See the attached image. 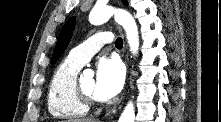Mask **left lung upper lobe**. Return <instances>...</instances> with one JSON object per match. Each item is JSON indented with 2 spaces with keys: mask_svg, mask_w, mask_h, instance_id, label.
Segmentation results:
<instances>
[{
  "mask_svg": "<svg viewBox=\"0 0 221 122\" xmlns=\"http://www.w3.org/2000/svg\"><path fill=\"white\" fill-rule=\"evenodd\" d=\"M122 2L127 5V0H122ZM75 26V17L70 18L62 27L58 41L56 43L53 56L51 59V64L56 63L58 58L62 55L64 50L66 49L68 43L71 40L73 30Z\"/></svg>",
  "mask_w": 221,
  "mask_h": 122,
  "instance_id": "obj_1",
  "label": "left lung upper lobe"
}]
</instances>
